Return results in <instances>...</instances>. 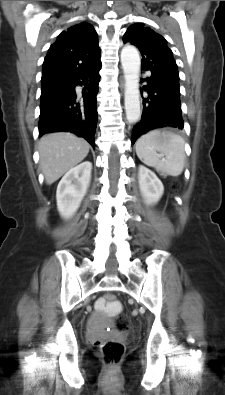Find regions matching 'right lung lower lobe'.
<instances>
[{
	"label": "right lung lower lobe",
	"instance_id": "1",
	"mask_svg": "<svg viewBox=\"0 0 225 395\" xmlns=\"http://www.w3.org/2000/svg\"><path fill=\"white\" fill-rule=\"evenodd\" d=\"M101 69L99 60L93 67L63 76L41 89L39 136L50 132H71L85 138L93 147L97 124L96 95ZM84 85L81 95L75 87Z\"/></svg>",
	"mask_w": 225,
	"mask_h": 395
}]
</instances>
